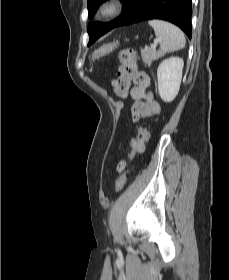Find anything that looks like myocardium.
Here are the masks:
<instances>
[{
  "label": "myocardium",
  "mask_w": 229,
  "mask_h": 280,
  "mask_svg": "<svg viewBox=\"0 0 229 280\" xmlns=\"http://www.w3.org/2000/svg\"><path fill=\"white\" fill-rule=\"evenodd\" d=\"M125 10L123 0H103L97 7V16L102 20L120 16Z\"/></svg>",
  "instance_id": "obj_1"
}]
</instances>
